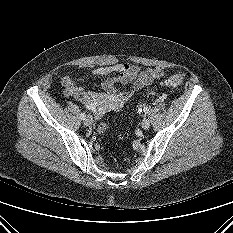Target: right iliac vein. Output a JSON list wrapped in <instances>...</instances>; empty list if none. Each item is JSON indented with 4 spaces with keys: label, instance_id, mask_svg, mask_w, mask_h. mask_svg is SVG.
<instances>
[{
    "label": "right iliac vein",
    "instance_id": "1",
    "mask_svg": "<svg viewBox=\"0 0 233 233\" xmlns=\"http://www.w3.org/2000/svg\"><path fill=\"white\" fill-rule=\"evenodd\" d=\"M92 123H93L92 117L88 116V117H86V118L84 119V124H85L86 126H91Z\"/></svg>",
    "mask_w": 233,
    "mask_h": 233
}]
</instances>
